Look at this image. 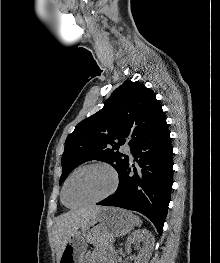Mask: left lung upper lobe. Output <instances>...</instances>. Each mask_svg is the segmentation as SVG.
Segmentation results:
<instances>
[{"mask_svg":"<svg viewBox=\"0 0 220 263\" xmlns=\"http://www.w3.org/2000/svg\"><path fill=\"white\" fill-rule=\"evenodd\" d=\"M164 117L153 91L126 80L100 111L81 121L67 137L60 184L75 167L93 159L109 163L120 176L129 157L116 150L126 141L132 150Z\"/></svg>","mask_w":220,"mask_h":263,"instance_id":"1","label":"left lung upper lobe"}]
</instances>
